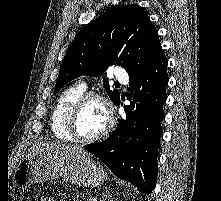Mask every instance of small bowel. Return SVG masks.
Instances as JSON below:
<instances>
[{
    "mask_svg": "<svg viewBox=\"0 0 221 201\" xmlns=\"http://www.w3.org/2000/svg\"><path fill=\"white\" fill-rule=\"evenodd\" d=\"M41 201H55L53 198H51V197H43L42 199H41Z\"/></svg>",
    "mask_w": 221,
    "mask_h": 201,
    "instance_id": "obj_1",
    "label": "small bowel"
}]
</instances>
